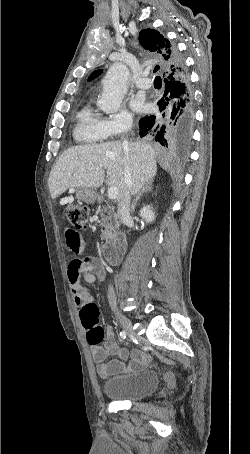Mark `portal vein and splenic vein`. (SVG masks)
Listing matches in <instances>:
<instances>
[{"label":"portal vein and splenic vein","instance_id":"obj_1","mask_svg":"<svg viewBox=\"0 0 250 454\" xmlns=\"http://www.w3.org/2000/svg\"><path fill=\"white\" fill-rule=\"evenodd\" d=\"M108 197L111 200H115L118 197V190L116 187H110L108 189Z\"/></svg>","mask_w":250,"mask_h":454}]
</instances>
